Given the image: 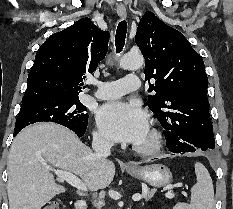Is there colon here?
<instances>
[{
	"label": "colon",
	"mask_w": 233,
	"mask_h": 209,
	"mask_svg": "<svg viewBox=\"0 0 233 209\" xmlns=\"http://www.w3.org/2000/svg\"><path fill=\"white\" fill-rule=\"evenodd\" d=\"M42 209H59V205L56 201H54V202L44 205Z\"/></svg>",
	"instance_id": "5ec220e1"
}]
</instances>
